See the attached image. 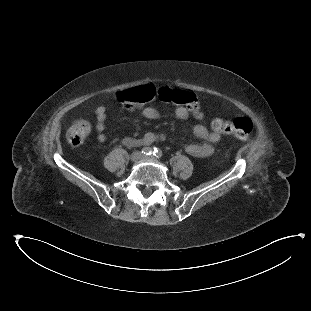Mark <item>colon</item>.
I'll return each instance as SVG.
<instances>
[{"label": "colon", "mask_w": 311, "mask_h": 311, "mask_svg": "<svg viewBox=\"0 0 311 311\" xmlns=\"http://www.w3.org/2000/svg\"><path fill=\"white\" fill-rule=\"evenodd\" d=\"M119 101L128 111H134L140 104L151 103L160 100L168 104L180 105L186 108L189 113L196 117H202L201 104L198 98L188 90L173 89L171 87H162L157 89L151 84L139 87L123 88L119 92ZM97 106L103 103L100 97L94 100ZM229 119L215 118L211 123V129L217 133H228ZM237 122L238 138L247 140L250 131V121L246 116L240 115ZM91 132V124L86 119L75 121L66 131V139L70 146L79 147Z\"/></svg>", "instance_id": "obj_1"}]
</instances>
